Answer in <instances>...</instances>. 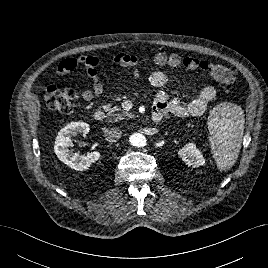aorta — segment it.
<instances>
[{
    "label": "aorta",
    "instance_id": "obj_1",
    "mask_svg": "<svg viewBox=\"0 0 268 268\" xmlns=\"http://www.w3.org/2000/svg\"><path fill=\"white\" fill-rule=\"evenodd\" d=\"M129 142L135 147H143L146 145V138L141 133H134L130 135Z\"/></svg>",
    "mask_w": 268,
    "mask_h": 268
}]
</instances>
